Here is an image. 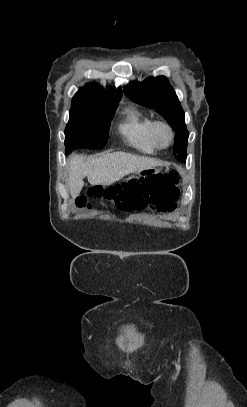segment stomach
Returning a JSON list of instances; mask_svg holds the SVG:
<instances>
[{"instance_id": "stomach-1", "label": "stomach", "mask_w": 247, "mask_h": 407, "mask_svg": "<svg viewBox=\"0 0 247 407\" xmlns=\"http://www.w3.org/2000/svg\"><path fill=\"white\" fill-rule=\"evenodd\" d=\"M159 169L155 166H140L139 169H133L132 176L133 178H150L151 175H155Z\"/></svg>"}]
</instances>
